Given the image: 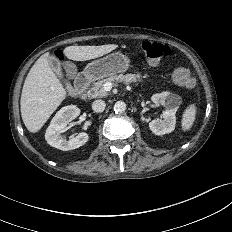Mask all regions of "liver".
Returning <instances> with one entry per match:
<instances>
[{"instance_id":"liver-1","label":"liver","mask_w":232,"mask_h":232,"mask_svg":"<svg viewBox=\"0 0 232 232\" xmlns=\"http://www.w3.org/2000/svg\"><path fill=\"white\" fill-rule=\"evenodd\" d=\"M118 47L116 44L101 46H68L64 55L74 61L101 57ZM48 53L43 54L30 69L21 94L22 120L32 133L38 132L50 115L66 97V90L48 63Z\"/></svg>"}]
</instances>
